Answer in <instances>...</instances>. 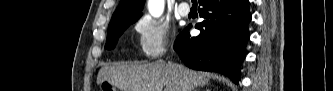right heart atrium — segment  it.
I'll return each instance as SVG.
<instances>
[{"label":"right heart atrium","instance_id":"right-heart-atrium-1","mask_svg":"<svg viewBox=\"0 0 333 91\" xmlns=\"http://www.w3.org/2000/svg\"><path fill=\"white\" fill-rule=\"evenodd\" d=\"M139 47L144 58L163 56L170 45V29L162 20L144 16L134 23Z\"/></svg>","mask_w":333,"mask_h":91}]
</instances>
